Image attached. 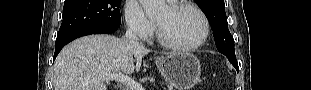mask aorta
<instances>
[{
  "label": "aorta",
  "instance_id": "762f6f07",
  "mask_svg": "<svg viewBox=\"0 0 311 90\" xmlns=\"http://www.w3.org/2000/svg\"><path fill=\"white\" fill-rule=\"evenodd\" d=\"M140 3L150 18L158 15L166 7L165 0H140Z\"/></svg>",
  "mask_w": 311,
  "mask_h": 90
}]
</instances>
